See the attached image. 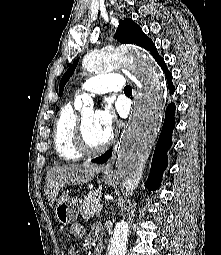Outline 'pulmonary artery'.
<instances>
[{
  "instance_id": "pulmonary-artery-1",
  "label": "pulmonary artery",
  "mask_w": 221,
  "mask_h": 255,
  "mask_svg": "<svg viewBox=\"0 0 221 255\" xmlns=\"http://www.w3.org/2000/svg\"><path fill=\"white\" fill-rule=\"evenodd\" d=\"M124 87L123 77L108 73L94 76L86 80L78 89V93L105 94L111 91H121Z\"/></svg>"
}]
</instances>
